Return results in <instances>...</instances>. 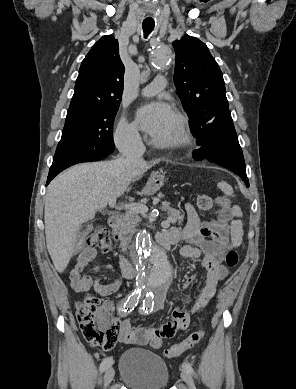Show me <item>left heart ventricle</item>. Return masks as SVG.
Wrapping results in <instances>:
<instances>
[{
    "label": "left heart ventricle",
    "instance_id": "b2bd125f",
    "mask_svg": "<svg viewBox=\"0 0 296 389\" xmlns=\"http://www.w3.org/2000/svg\"><path fill=\"white\" fill-rule=\"evenodd\" d=\"M176 133H177V121L173 115L168 125L164 128V130L159 135L155 136V138L159 140H169L172 139L176 135Z\"/></svg>",
    "mask_w": 296,
    "mask_h": 389
}]
</instances>
